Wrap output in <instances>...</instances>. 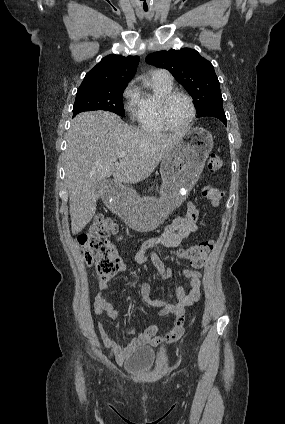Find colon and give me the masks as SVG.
Wrapping results in <instances>:
<instances>
[{
  "instance_id": "colon-1",
  "label": "colon",
  "mask_w": 285,
  "mask_h": 424,
  "mask_svg": "<svg viewBox=\"0 0 285 424\" xmlns=\"http://www.w3.org/2000/svg\"><path fill=\"white\" fill-rule=\"evenodd\" d=\"M207 169L214 173L221 169L223 162L218 154L212 153L207 159ZM203 196L214 206L219 205L224 197V192L214 186L206 185L203 188ZM118 233L117 225L109 218L98 215L87 232L80 234L77 238L78 245L84 255L88 266H96L97 273L103 279H109L117 274L122 268V261L117 255L116 248L108 240L111 235ZM214 241L208 240L178 252V256L188 260L194 266L204 264L207 256L212 252ZM182 317L177 321L179 328Z\"/></svg>"
}]
</instances>
